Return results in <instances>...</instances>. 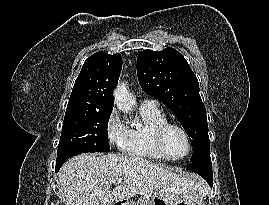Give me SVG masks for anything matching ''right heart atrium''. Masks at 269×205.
Returning <instances> with one entry per match:
<instances>
[{"label":"right heart atrium","instance_id":"d8ad5b80","mask_svg":"<svg viewBox=\"0 0 269 205\" xmlns=\"http://www.w3.org/2000/svg\"><path fill=\"white\" fill-rule=\"evenodd\" d=\"M105 131L109 143L123 149L128 139V128L122 122L116 110H112L108 115Z\"/></svg>","mask_w":269,"mask_h":205}]
</instances>
